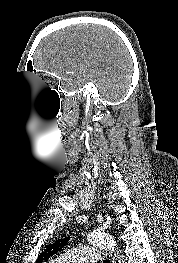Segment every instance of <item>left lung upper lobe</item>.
Masks as SVG:
<instances>
[{
	"label": "left lung upper lobe",
	"mask_w": 178,
	"mask_h": 263,
	"mask_svg": "<svg viewBox=\"0 0 178 263\" xmlns=\"http://www.w3.org/2000/svg\"><path fill=\"white\" fill-rule=\"evenodd\" d=\"M69 239L70 237H67L50 244L46 250L38 256L35 263H42L43 261L48 260L52 255L59 252Z\"/></svg>",
	"instance_id": "1"
}]
</instances>
